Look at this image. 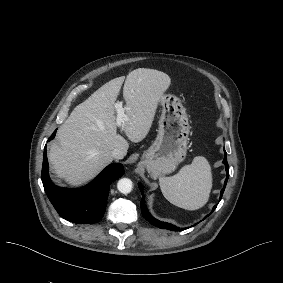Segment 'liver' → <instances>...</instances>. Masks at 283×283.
I'll use <instances>...</instances> for the list:
<instances>
[{
  "label": "liver",
  "mask_w": 283,
  "mask_h": 283,
  "mask_svg": "<svg viewBox=\"0 0 283 283\" xmlns=\"http://www.w3.org/2000/svg\"><path fill=\"white\" fill-rule=\"evenodd\" d=\"M124 80L121 76L105 83L77 105L59 127V144H51L48 158L55 173L69 184L80 185L92 179L113 161V149L126 155L129 144L117 134L114 108ZM170 83L166 73L154 69L138 68L127 75L123 97L128 120L121 128L130 141L137 143L146 137L158 102Z\"/></svg>",
  "instance_id": "1"
}]
</instances>
